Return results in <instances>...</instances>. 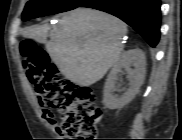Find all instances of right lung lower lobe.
Wrapping results in <instances>:
<instances>
[{
    "mask_svg": "<svg viewBox=\"0 0 182 140\" xmlns=\"http://www.w3.org/2000/svg\"><path fill=\"white\" fill-rule=\"evenodd\" d=\"M160 0H86L79 7L105 11L117 16L139 32L150 46L160 38Z\"/></svg>",
    "mask_w": 182,
    "mask_h": 140,
    "instance_id": "right-lung-lower-lobe-1",
    "label": "right lung lower lobe"
}]
</instances>
